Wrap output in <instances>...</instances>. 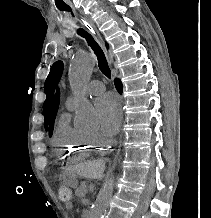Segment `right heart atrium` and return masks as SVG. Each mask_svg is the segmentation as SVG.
<instances>
[{
    "label": "right heart atrium",
    "instance_id": "d8ad5b80",
    "mask_svg": "<svg viewBox=\"0 0 211 218\" xmlns=\"http://www.w3.org/2000/svg\"><path fill=\"white\" fill-rule=\"evenodd\" d=\"M93 140L96 141H100V142H105L107 143V140L105 138H103L101 135H99L98 133H89L88 134Z\"/></svg>",
    "mask_w": 211,
    "mask_h": 218
}]
</instances>
